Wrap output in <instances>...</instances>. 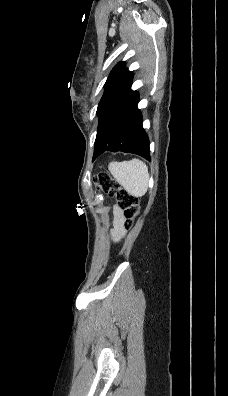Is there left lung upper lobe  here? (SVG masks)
Segmentation results:
<instances>
[{
	"label": "left lung upper lobe",
	"instance_id": "1",
	"mask_svg": "<svg viewBox=\"0 0 228 396\" xmlns=\"http://www.w3.org/2000/svg\"><path fill=\"white\" fill-rule=\"evenodd\" d=\"M132 79L133 74L125 68V62H120L113 68L105 83V91L97 108L99 122L112 103L130 88Z\"/></svg>",
	"mask_w": 228,
	"mask_h": 396
}]
</instances>
